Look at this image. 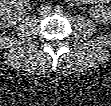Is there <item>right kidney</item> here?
I'll use <instances>...</instances> for the list:
<instances>
[{
  "instance_id": "obj_1",
  "label": "right kidney",
  "mask_w": 111,
  "mask_h": 106,
  "mask_svg": "<svg viewBox=\"0 0 111 106\" xmlns=\"http://www.w3.org/2000/svg\"><path fill=\"white\" fill-rule=\"evenodd\" d=\"M21 6L22 2L3 0L0 9L2 24L6 26L15 25L22 15L23 7Z\"/></svg>"
}]
</instances>
